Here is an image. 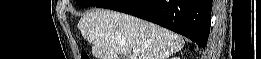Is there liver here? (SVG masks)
<instances>
[{"label":"liver","instance_id":"1","mask_svg":"<svg viewBox=\"0 0 261 59\" xmlns=\"http://www.w3.org/2000/svg\"><path fill=\"white\" fill-rule=\"evenodd\" d=\"M96 59H167L184 46L181 36L145 20L106 9L93 10L78 22ZM133 49L138 54H131Z\"/></svg>","mask_w":261,"mask_h":59}]
</instances>
